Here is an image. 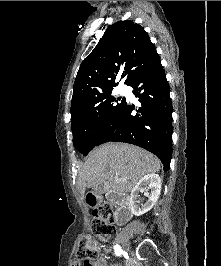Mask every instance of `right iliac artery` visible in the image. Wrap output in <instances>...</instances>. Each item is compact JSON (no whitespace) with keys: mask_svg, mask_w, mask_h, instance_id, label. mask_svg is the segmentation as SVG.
<instances>
[{"mask_svg":"<svg viewBox=\"0 0 221 266\" xmlns=\"http://www.w3.org/2000/svg\"><path fill=\"white\" fill-rule=\"evenodd\" d=\"M114 250H115V254L117 256H120L123 252V250L121 249V247L119 245H114Z\"/></svg>","mask_w":221,"mask_h":266,"instance_id":"right-iliac-artery-1","label":"right iliac artery"}]
</instances>
